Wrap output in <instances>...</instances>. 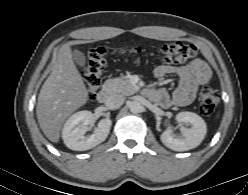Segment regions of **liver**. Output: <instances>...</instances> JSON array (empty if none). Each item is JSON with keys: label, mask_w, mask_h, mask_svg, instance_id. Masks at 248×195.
I'll return each instance as SVG.
<instances>
[{"label": "liver", "mask_w": 248, "mask_h": 195, "mask_svg": "<svg viewBox=\"0 0 248 195\" xmlns=\"http://www.w3.org/2000/svg\"><path fill=\"white\" fill-rule=\"evenodd\" d=\"M87 100L88 91L74 64L72 50L64 45L38 96L36 115L45 136L57 143L65 120Z\"/></svg>", "instance_id": "liver-1"}]
</instances>
